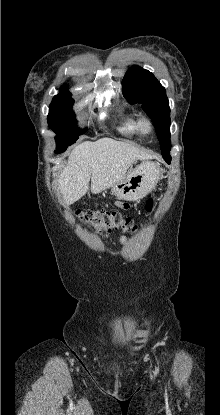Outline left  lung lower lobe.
I'll return each mask as SVG.
<instances>
[{"mask_svg":"<svg viewBox=\"0 0 220 415\" xmlns=\"http://www.w3.org/2000/svg\"><path fill=\"white\" fill-rule=\"evenodd\" d=\"M163 158H164V160H165L167 163H170V161H171V156H169V155H165V156H163Z\"/></svg>","mask_w":220,"mask_h":415,"instance_id":"left-lung-lower-lobe-1","label":"left lung lower lobe"}]
</instances>
